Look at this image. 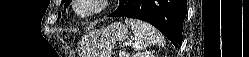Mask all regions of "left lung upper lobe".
I'll list each match as a JSON object with an SVG mask.
<instances>
[{"instance_id": "left-lung-upper-lobe-1", "label": "left lung upper lobe", "mask_w": 249, "mask_h": 57, "mask_svg": "<svg viewBox=\"0 0 249 57\" xmlns=\"http://www.w3.org/2000/svg\"><path fill=\"white\" fill-rule=\"evenodd\" d=\"M63 3H65V8L69 5V3L71 2V0H62ZM59 17H60V13H59Z\"/></svg>"}]
</instances>
